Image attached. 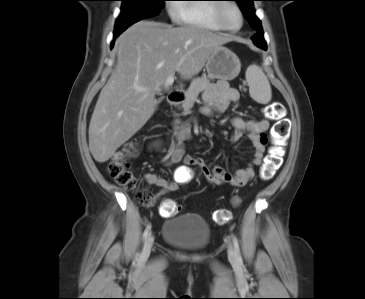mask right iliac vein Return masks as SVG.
<instances>
[{"label": "right iliac vein", "mask_w": 365, "mask_h": 299, "mask_svg": "<svg viewBox=\"0 0 365 299\" xmlns=\"http://www.w3.org/2000/svg\"><path fill=\"white\" fill-rule=\"evenodd\" d=\"M152 245H153V238H152V236H149L145 241V244H144V247H143V250L141 253L140 260L142 262H145L149 258L151 250H152Z\"/></svg>", "instance_id": "right-iliac-vein-1"}]
</instances>
